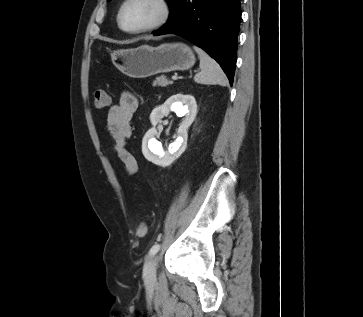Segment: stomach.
Masks as SVG:
<instances>
[{
	"label": "stomach",
	"instance_id": "0dacf381",
	"mask_svg": "<svg viewBox=\"0 0 363 317\" xmlns=\"http://www.w3.org/2000/svg\"><path fill=\"white\" fill-rule=\"evenodd\" d=\"M114 66L132 78H146L158 73L184 71L195 63L191 48L184 43H164L157 47L141 45L111 54Z\"/></svg>",
	"mask_w": 363,
	"mask_h": 317
}]
</instances>
